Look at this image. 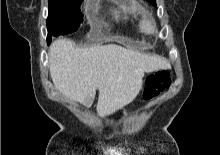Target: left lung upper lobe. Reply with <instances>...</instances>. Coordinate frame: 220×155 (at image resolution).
Masks as SVG:
<instances>
[{"instance_id": "left-lung-upper-lobe-1", "label": "left lung upper lobe", "mask_w": 220, "mask_h": 155, "mask_svg": "<svg viewBox=\"0 0 220 155\" xmlns=\"http://www.w3.org/2000/svg\"><path fill=\"white\" fill-rule=\"evenodd\" d=\"M147 1H149V2L153 3L154 5H156L155 0H147Z\"/></svg>"}]
</instances>
